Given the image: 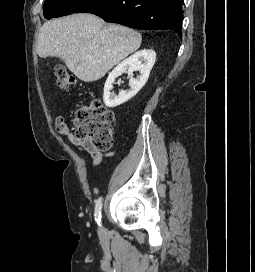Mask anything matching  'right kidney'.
<instances>
[{
	"label": "right kidney",
	"instance_id": "1",
	"mask_svg": "<svg viewBox=\"0 0 255 272\" xmlns=\"http://www.w3.org/2000/svg\"><path fill=\"white\" fill-rule=\"evenodd\" d=\"M155 60V51L151 49H143L118 64L109 74L104 85L103 101L105 105L107 107L114 108L134 97L147 82ZM134 71L140 72V76L136 79L133 78ZM124 72H128V75L130 76V89L128 91H120L119 95L115 96L110 92L112 84L115 79L118 76H121Z\"/></svg>",
	"mask_w": 255,
	"mask_h": 272
}]
</instances>
